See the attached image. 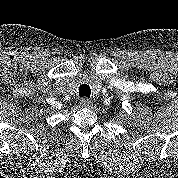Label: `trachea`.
<instances>
[{
  "label": "trachea",
  "instance_id": "3493384b",
  "mask_svg": "<svg viewBox=\"0 0 178 178\" xmlns=\"http://www.w3.org/2000/svg\"><path fill=\"white\" fill-rule=\"evenodd\" d=\"M91 94L90 86L87 84H82L79 87V96L89 98Z\"/></svg>",
  "mask_w": 178,
  "mask_h": 178
}]
</instances>
